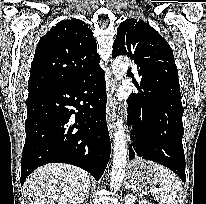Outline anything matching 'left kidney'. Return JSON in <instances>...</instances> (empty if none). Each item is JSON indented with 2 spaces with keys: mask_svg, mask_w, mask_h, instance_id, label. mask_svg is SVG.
Masks as SVG:
<instances>
[{
  "mask_svg": "<svg viewBox=\"0 0 206 204\" xmlns=\"http://www.w3.org/2000/svg\"><path fill=\"white\" fill-rule=\"evenodd\" d=\"M135 200L136 199H135V197L133 195L127 194L124 197L125 204H134ZM139 204H150V203H148L147 201H141Z\"/></svg>",
  "mask_w": 206,
  "mask_h": 204,
  "instance_id": "left-kidney-1",
  "label": "left kidney"
}]
</instances>
